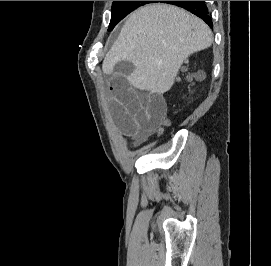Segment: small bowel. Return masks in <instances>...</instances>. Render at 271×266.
<instances>
[{"label":"small bowel","mask_w":271,"mask_h":266,"mask_svg":"<svg viewBox=\"0 0 271 266\" xmlns=\"http://www.w3.org/2000/svg\"><path fill=\"white\" fill-rule=\"evenodd\" d=\"M108 70L107 104L110 111L122 132L140 143L164 119V97L136 89L132 84L134 69L128 62L118 63Z\"/></svg>","instance_id":"obj_1"}]
</instances>
